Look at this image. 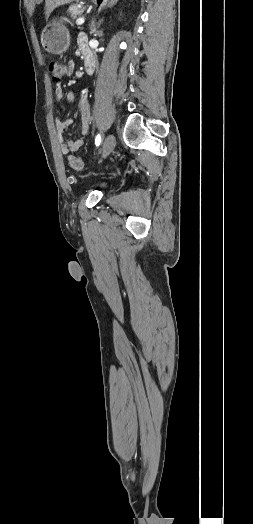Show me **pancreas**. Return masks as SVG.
<instances>
[{
    "label": "pancreas",
    "instance_id": "1",
    "mask_svg": "<svg viewBox=\"0 0 253 524\" xmlns=\"http://www.w3.org/2000/svg\"><path fill=\"white\" fill-rule=\"evenodd\" d=\"M85 10V7L81 4H73L68 9V15L75 19L77 16H80L83 11Z\"/></svg>",
    "mask_w": 253,
    "mask_h": 524
}]
</instances>
